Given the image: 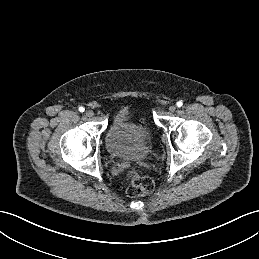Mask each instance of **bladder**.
Here are the masks:
<instances>
[{
  "instance_id": "obj_1",
  "label": "bladder",
  "mask_w": 259,
  "mask_h": 259,
  "mask_svg": "<svg viewBox=\"0 0 259 259\" xmlns=\"http://www.w3.org/2000/svg\"><path fill=\"white\" fill-rule=\"evenodd\" d=\"M148 142V128L137 124L129 110H118L105 136L107 151L117 158L144 159Z\"/></svg>"
}]
</instances>
